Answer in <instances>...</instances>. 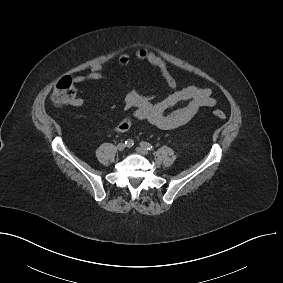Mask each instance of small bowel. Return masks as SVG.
Returning <instances> with one entry per match:
<instances>
[{
	"instance_id": "small-bowel-1",
	"label": "small bowel",
	"mask_w": 283,
	"mask_h": 283,
	"mask_svg": "<svg viewBox=\"0 0 283 283\" xmlns=\"http://www.w3.org/2000/svg\"><path fill=\"white\" fill-rule=\"evenodd\" d=\"M134 58L156 68L171 91L161 101L154 103L150 95H142L134 89L127 90L123 101L125 110L129 114L116 125L117 133L127 132L134 120L148 121L160 129H174L189 122L201 108L216 105L210 88L196 85L177 88L176 80L170 74L165 61L152 50L140 47L135 50ZM117 60L122 67H128L131 63V57L127 53L119 54ZM73 80L75 83H84L106 81L107 78L103 67L94 65L88 74L77 75ZM83 102L82 98H76L73 100V105L80 106ZM180 102H186V104L171 112H166Z\"/></svg>"
}]
</instances>
